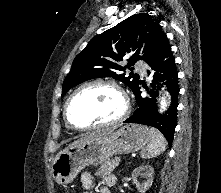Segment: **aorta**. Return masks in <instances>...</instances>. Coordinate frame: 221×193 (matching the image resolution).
I'll return each mask as SVG.
<instances>
[{
  "instance_id": "aorta-1",
  "label": "aorta",
  "mask_w": 221,
  "mask_h": 193,
  "mask_svg": "<svg viewBox=\"0 0 221 193\" xmlns=\"http://www.w3.org/2000/svg\"><path fill=\"white\" fill-rule=\"evenodd\" d=\"M166 106H167V102H166L165 98H162V100H161V109L165 110Z\"/></svg>"
}]
</instances>
